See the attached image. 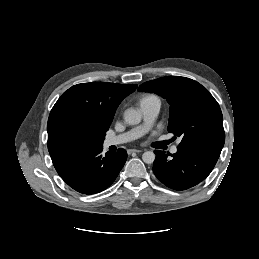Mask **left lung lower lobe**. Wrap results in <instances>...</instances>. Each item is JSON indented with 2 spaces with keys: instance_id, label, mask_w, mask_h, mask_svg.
I'll return each instance as SVG.
<instances>
[{
  "instance_id": "0a47b994",
  "label": "left lung lower lobe",
  "mask_w": 259,
  "mask_h": 259,
  "mask_svg": "<svg viewBox=\"0 0 259 259\" xmlns=\"http://www.w3.org/2000/svg\"><path fill=\"white\" fill-rule=\"evenodd\" d=\"M221 150V147L206 144L177 147L175 154L155 150L153 172L166 186L175 190H186L211 173Z\"/></svg>"
}]
</instances>
